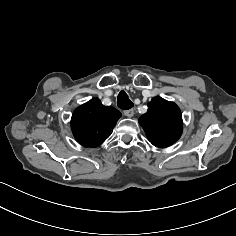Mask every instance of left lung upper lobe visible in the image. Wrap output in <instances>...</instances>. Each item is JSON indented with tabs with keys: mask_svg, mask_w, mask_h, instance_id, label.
Listing matches in <instances>:
<instances>
[{
	"mask_svg": "<svg viewBox=\"0 0 236 236\" xmlns=\"http://www.w3.org/2000/svg\"><path fill=\"white\" fill-rule=\"evenodd\" d=\"M148 140L156 147L165 148L175 143L183 131L179 107L161 97L148 103V110L139 118Z\"/></svg>",
	"mask_w": 236,
	"mask_h": 236,
	"instance_id": "1",
	"label": "left lung upper lobe"
}]
</instances>
